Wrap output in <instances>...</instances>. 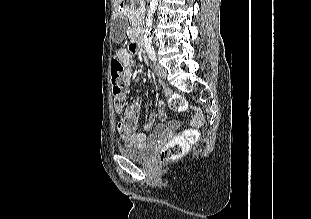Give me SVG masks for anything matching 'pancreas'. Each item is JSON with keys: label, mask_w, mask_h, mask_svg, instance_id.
I'll use <instances>...</instances> for the list:
<instances>
[{"label": "pancreas", "mask_w": 311, "mask_h": 219, "mask_svg": "<svg viewBox=\"0 0 311 219\" xmlns=\"http://www.w3.org/2000/svg\"><path fill=\"white\" fill-rule=\"evenodd\" d=\"M136 1L139 0H130L131 5L128 10V17L131 20L129 30L134 35H137L140 31L144 14V5L143 4L137 5Z\"/></svg>", "instance_id": "obj_1"}]
</instances>
